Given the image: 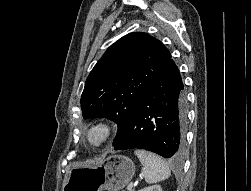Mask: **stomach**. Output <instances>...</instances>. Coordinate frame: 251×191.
<instances>
[{
    "label": "stomach",
    "instance_id": "0dacf381",
    "mask_svg": "<svg viewBox=\"0 0 251 191\" xmlns=\"http://www.w3.org/2000/svg\"><path fill=\"white\" fill-rule=\"evenodd\" d=\"M135 165L126 155H109L99 165L72 167L63 191H119L131 181Z\"/></svg>",
    "mask_w": 251,
    "mask_h": 191
}]
</instances>
